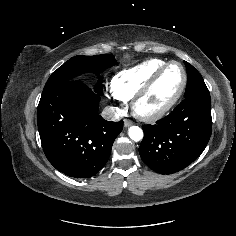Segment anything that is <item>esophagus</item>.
<instances>
[{
    "label": "esophagus",
    "instance_id": "obj_1",
    "mask_svg": "<svg viewBox=\"0 0 236 236\" xmlns=\"http://www.w3.org/2000/svg\"><path fill=\"white\" fill-rule=\"evenodd\" d=\"M133 124V122L131 121V120H129V119H125L124 120V126L125 127H129V126H131Z\"/></svg>",
    "mask_w": 236,
    "mask_h": 236
}]
</instances>
